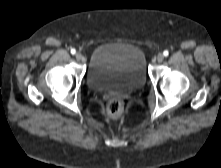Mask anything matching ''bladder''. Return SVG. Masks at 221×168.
I'll return each instance as SVG.
<instances>
[{
	"instance_id": "31cf9c89",
	"label": "bladder",
	"mask_w": 221,
	"mask_h": 168,
	"mask_svg": "<svg viewBox=\"0 0 221 168\" xmlns=\"http://www.w3.org/2000/svg\"><path fill=\"white\" fill-rule=\"evenodd\" d=\"M146 80L145 54L136 45L102 44L91 53L86 82L94 91L126 93L142 87Z\"/></svg>"
}]
</instances>
